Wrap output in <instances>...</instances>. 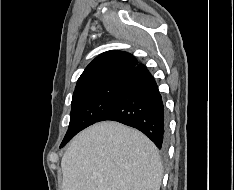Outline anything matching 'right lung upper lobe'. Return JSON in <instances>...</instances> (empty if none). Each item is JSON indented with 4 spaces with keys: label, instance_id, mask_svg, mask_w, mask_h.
<instances>
[{
    "label": "right lung upper lobe",
    "instance_id": "cb5924a9",
    "mask_svg": "<svg viewBox=\"0 0 234 190\" xmlns=\"http://www.w3.org/2000/svg\"><path fill=\"white\" fill-rule=\"evenodd\" d=\"M138 65L134 56L123 51H108L96 57L78 79L74 92L104 84L106 82L125 79Z\"/></svg>",
    "mask_w": 234,
    "mask_h": 190
}]
</instances>
